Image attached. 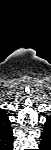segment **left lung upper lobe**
<instances>
[{"mask_svg": "<svg viewBox=\"0 0 51 150\" xmlns=\"http://www.w3.org/2000/svg\"><path fill=\"white\" fill-rule=\"evenodd\" d=\"M44 132L49 133L51 132V120L47 119L44 126Z\"/></svg>", "mask_w": 51, "mask_h": 150, "instance_id": "1", "label": "left lung upper lobe"}]
</instances>
